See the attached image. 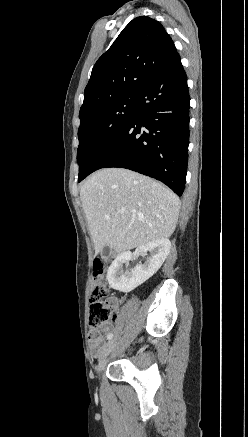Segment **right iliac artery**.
<instances>
[{
	"label": "right iliac artery",
	"instance_id": "82829eb1",
	"mask_svg": "<svg viewBox=\"0 0 248 437\" xmlns=\"http://www.w3.org/2000/svg\"><path fill=\"white\" fill-rule=\"evenodd\" d=\"M113 338V334L112 333H109L108 335H107V339L108 340H111Z\"/></svg>",
	"mask_w": 248,
	"mask_h": 437
}]
</instances>
